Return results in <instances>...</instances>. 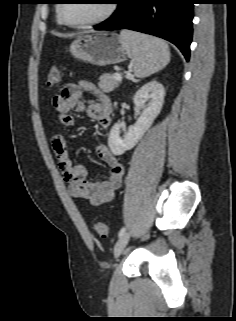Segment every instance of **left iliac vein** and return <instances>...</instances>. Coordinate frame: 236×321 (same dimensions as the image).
Here are the masks:
<instances>
[{"label":"left iliac vein","instance_id":"left-iliac-vein-1","mask_svg":"<svg viewBox=\"0 0 236 321\" xmlns=\"http://www.w3.org/2000/svg\"><path fill=\"white\" fill-rule=\"evenodd\" d=\"M129 233H124L116 242L115 246H114V255L115 257H118L121 252L124 250V248L126 247L128 241H129Z\"/></svg>","mask_w":236,"mask_h":321}]
</instances>
